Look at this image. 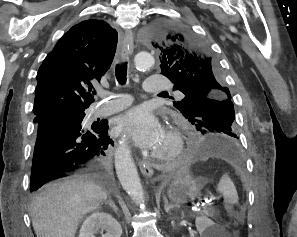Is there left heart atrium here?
<instances>
[{"label": "left heart atrium", "instance_id": "39dd6f15", "mask_svg": "<svg viewBox=\"0 0 297 237\" xmlns=\"http://www.w3.org/2000/svg\"><path fill=\"white\" fill-rule=\"evenodd\" d=\"M117 131L126 133L141 148L155 149L164 129L156 115L145 107L132 108L116 121Z\"/></svg>", "mask_w": 297, "mask_h": 237}]
</instances>
